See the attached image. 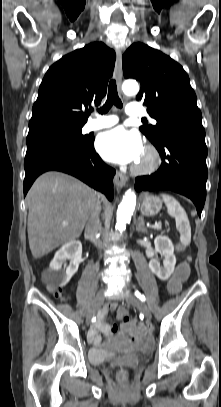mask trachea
Segmentation results:
<instances>
[{
  "label": "trachea",
  "mask_w": 221,
  "mask_h": 407,
  "mask_svg": "<svg viewBox=\"0 0 221 407\" xmlns=\"http://www.w3.org/2000/svg\"><path fill=\"white\" fill-rule=\"evenodd\" d=\"M112 105H115L118 108H122V106H123L122 102L118 96L115 80H111L109 82L107 100H106L105 104L98 109L99 113L100 114L107 113L110 110V108L112 107ZM143 121H146V120L143 119Z\"/></svg>",
  "instance_id": "obj_1"
}]
</instances>
